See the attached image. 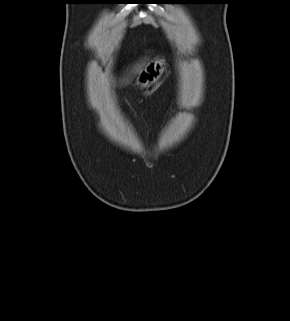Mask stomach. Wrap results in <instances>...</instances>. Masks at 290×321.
I'll return each mask as SVG.
<instances>
[{
	"label": "stomach",
	"instance_id": "obj_1",
	"mask_svg": "<svg viewBox=\"0 0 290 321\" xmlns=\"http://www.w3.org/2000/svg\"><path fill=\"white\" fill-rule=\"evenodd\" d=\"M164 60L154 59L142 69L137 77L136 84L141 87H148L155 83L164 71Z\"/></svg>",
	"mask_w": 290,
	"mask_h": 321
}]
</instances>
